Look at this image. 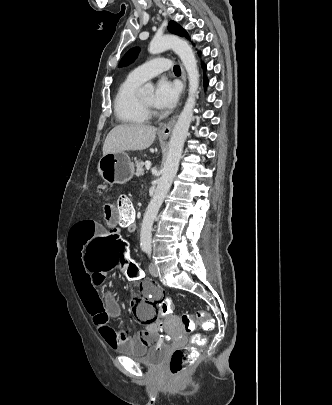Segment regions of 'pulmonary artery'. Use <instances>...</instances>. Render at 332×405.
Returning <instances> with one entry per match:
<instances>
[{"mask_svg":"<svg viewBox=\"0 0 332 405\" xmlns=\"http://www.w3.org/2000/svg\"><path fill=\"white\" fill-rule=\"evenodd\" d=\"M170 69V61L166 58H155L130 72L129 78L141 83Z\"/></svg>","mask_w":332,"mask_h":405,"instance_id":"e3ab8cb5","label":"pulmonary artery"}]
</instances>
